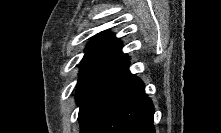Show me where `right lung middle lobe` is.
Listing matches in <instances>:
<instances>
[{
  "instance_id": "dd1d6c3e",
  "label": "right lung middle lobe",
  "mask_w": 221,
  "mask_h": 133,
  "mask_svg": "<svg viewBox=\"0 0 221 133\" xmlns=\"http://www.w3.org/2000/svg\"><path fill=\"white\" fill-rule=\"evenodd\" d=\"M97 74H88V75H80L79 81L77 84V91H76V102L77 104H82L84 98L88 94L91 85L93 84L94 80L98 77Z\"/></svg>"
}]
</instances>
